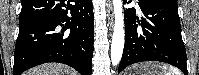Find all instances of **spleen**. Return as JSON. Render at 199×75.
I'll use <instances>...</instances> for the list:
<instances>
[{
  "mask_svg": "<svg viewBox=\"0 0 199 75\" xmlns=\"http://www.w3.org/2000/svg\"><path fill=\"white\" fill-rule=\"evenodd\" d=\"M160 67L165 71L164 75H181V72L177 68L168 65H161Z\"/></svg>",
  "mask_w": 199,
  "mask_h": 75,
  "instance_id": "3e777b00",
  "label": "spleen"
}]
</instances>
